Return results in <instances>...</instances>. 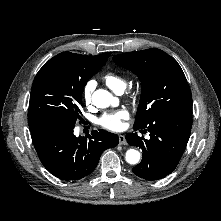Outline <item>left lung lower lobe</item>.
I'll return each instance as SVG.
<instances>
[{
  "label": "left lung lower lobe",
  "instance_id": "0a47b994",
  "mask_svg": "<svg viewBox=\"0 0 221 221\" xmlns=\"http://www.w3.org/2000/svg\"><path fill=\"white\" fill-rule=\"evenodd\" d=\"M192 114H162L141 128L148 130L150 139L129 133V145L142 149V161L132 171L135 175L158 180L170 174L178 165L188 143ZM135 130L140 128H134Z\"/></svg>",
  "mask_w": 221,
  "mask_h": 221
}]
</instances>
